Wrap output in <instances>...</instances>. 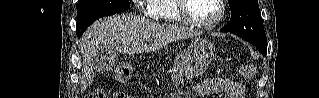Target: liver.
<instances>
[{
  "label": "liver",
  "mask_w": 319,
  "mask_h": 98,
  "mask_svg": "<svg viewBox=\"0 0 319 98\" xmlns=\"http://www.w3.org/2000/svg\"><path fill=\"white\" fill-rule=\"evenodd\" d=\"M200 35L190 28L157 24L133 14L105 17L94 22L80 40L82 55L81 92L94 81L93 57L100 50H115L125 55L159 50L168 44ZM151 40L149 45L144 41Z\"/></svg>",
  "instance_id": "6515ba94"
}]
</instances>
